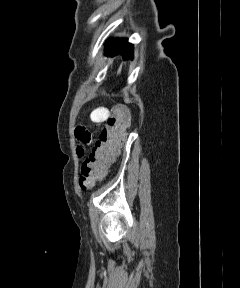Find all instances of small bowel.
Masks as SVG:
<instances>
[{
    "label": "small bowel",
    "mask_w": 240,
    "mask_h": 288,
    "mask_svg": "<svg viewBox=\"0 0 240 288\" xmlns=\"http://www.w3.org/2000/svg\"><path fill=\"white\" fill-rule=\"evenodd\" d=\"M110 111L107 107H97L90 113V121L93 124H102L108 120ZM75 137L79 142L78 153L83 154L84 147L94 142L93 134L85 126H77L75 129Z\"/></svg>",
    "instance_id": "c3829d8e"
}]
</instances>
